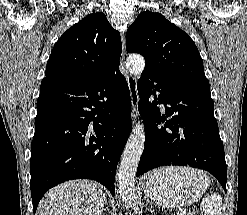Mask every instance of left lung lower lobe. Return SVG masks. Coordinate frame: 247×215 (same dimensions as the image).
<instances>
[{
    "label": "left lung lower lobe",
    "instance_id": "1",
    "mask_svg": "<svg viewBox=\"0 0 247 215\" xmlns=\"http://www.w3.org/2000/svg\"><path fill=\"white\" fill-rule=\"evenodd\" d=\"M137 89L138 110L145 123V147L137 176L164 165L190 166L210 172L226 192L225 153L210 93L145 70ZM156 91L160 94L150 102ZM161 103L165 113L157 107Z\"/></svg>",
    "mask_w": 247,
    "mask_h": 215
}]
</instances>
